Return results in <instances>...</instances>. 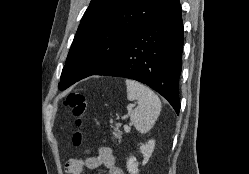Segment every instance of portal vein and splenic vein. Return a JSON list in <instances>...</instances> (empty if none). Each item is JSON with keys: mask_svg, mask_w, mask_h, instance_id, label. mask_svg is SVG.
Returning a JSON list of instances; mask_svg holds the SVG:
<instances>
[{"mask_svg": "<svg viewBox=\"0 0 249 174\" xmlns=\"http://www.w3.org/2000/svg\"><path fill=\"white\" fill-rule=\"evenodd\" d=\"M127 116H125V117H123V119H125ZM130 126H128V125H125L124 126V130L126 131V132H129L130 131Z\"/></svg>", "mask_w": 249, "mask_h": 174, "instance_id": "portal-vein-and-splenic-vein-1", "label": "portal vein and splenic vein"}]
</instances>
